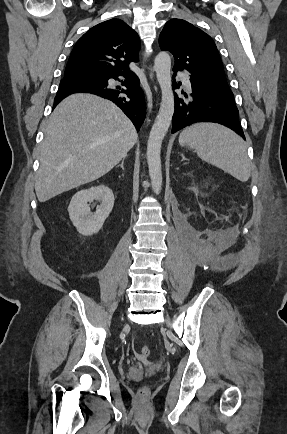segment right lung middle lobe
<instances>
[{"instance_id":"1","label":"right lung middle lobe","mask_w":287,"mask_h":434,"mask_svg":"<svg viewBox=\"0 0 287 434\" xmlns=\"http://www.w3.org/2000/svg\"><path fill=\"white\" fill-rule=\"evenodd\" d=\"M69 79L78 80V81H83V80H100L101 79V75H95V74L72 75V76H69Z\"/></svg>"}]
</instances>
